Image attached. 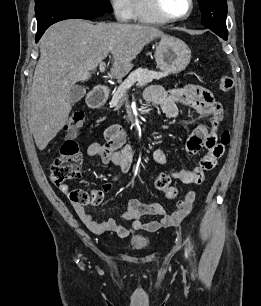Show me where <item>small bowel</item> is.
I'll return each instance as SVG.
<instances>
[{
    "label": "small bowel",
    "instance_id": "1",
    "mask_svg": "<svg viewBox=\"0 0 261 306\" xmlns=\"http://www.w3.org/2000/svg\"><path fill=\"white\" fill-rule=\"evenodd\" d=\"M145 98L160 106L163 113L169 118L177 117V104H183L194 108L204 120V123L191 133L186 143L187 151L190 154H195L201 149L206 150L199 166L192 169L173 167L162 149H156L153 152L155 162L167 166V173L171 178L185 184H201L204 181L205 172L216 166L225 150V146L217 140V132L223 116L221 104L209 90L193 84L170 90H165L160 86H151L145 91ZM104 135L106 142L104 144L91 143L87 148V154L100 158L105 164H114L121 172L128 173L132 167L134 152L132 146L125 140L124 131L119 125H111L105 130ZM108 189L109 185H105L103 190H99L102 198ZM64 192L69 194L67 191ZM194 200L195 192L189 191L178 202L176 209L171 214H167L162 205L158 203L145 204L138 199H128L126 210L121 218L131 221L130 226L119 224L115 218L98 221L83 205L74 202L73 205L80 220L92 232L96 234L112 232L125 238L139 230L154 232L163 227L179 225L189 214ZM143 216H160L161 218L142 222Z\"/></svg>",
    "mask_w": 261,
    "mask_h": 306
}]
</instances>
